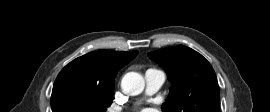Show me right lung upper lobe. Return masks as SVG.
<instances>
[{
	"label": "right lung upper lobe",
	"instance_id": "right-lung-upper-lobe-1",
	"mask_svg": "<svg viewBox=\"0 0 270 112\" xmlns=\"http://www.w3.org/2000/svg\"><path fill=\"white\" fill-rule=\"evenodd\" d=\"M137 54L138 51L98 50L78 57L61 70L53 88L74 84L87 89L113 91L117 72Z\"/></svg>",
	"mask_w": 270,
	"mask_h": 112
}]
</instances>
